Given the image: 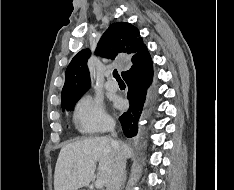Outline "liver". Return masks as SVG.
<instances>
[{
    "instance_id": "liver-1",
    "label": "liver",
    "mask_w": 234,
    "mask_h": 190,
    "mask_svg": "<svg viewBox=\"0 0 234 190\" xmlns=\"http://www.w3.org/2000/svg\"><path fill=\"white\" fill-rule=\"evenodd\" d=\"M125 159L132 151L125 143H119ZM99 162L97 177L106 186L114 163L111 139L97 137L83 139L64 145L59 153L55 173L54 190H78L88 186Z\"/></svg>"
}]
</instances>
